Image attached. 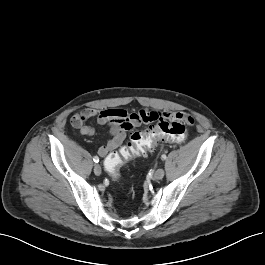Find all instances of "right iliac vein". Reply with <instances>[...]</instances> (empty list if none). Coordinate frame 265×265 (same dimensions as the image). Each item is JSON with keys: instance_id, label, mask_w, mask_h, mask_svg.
<instances>
[{"instance_id": "obj_1", "label": "right iliac vein", "mask_w": 265, "mask_h": 265, "mask_svg": "<svg viewBox=\"0 0 265 265\" xmlns=\"http://www.w3.org/2000/svg\"><path fill=\"white\" fill-rule=\"evenodd\" d=\"M94 173L96 175H100L101 174V167L99 165H95L94 166Z\"/></svg>"}]
</instances>
